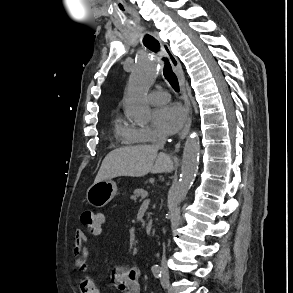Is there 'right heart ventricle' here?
I'll use <instances>...</instances> for the list:
<instances>
[{
	"label": "right heart ventricle",
	"mask_w": 293,
	"mask_h": 293,
	"mask_svg": "<svg viewBox=\"0 0 293 293\" xmlns=\"http://www.w3.org/2000/svg\"><path fill=\"white\" fill-rule=\"evenodd\" d=\"M117 134L122 136L127 143L132 144L138 142L136 139L129 138V127L123 126L121 124H118L116 127Z\"/></svg>",
	"instance_id": "obj_1"
}]
</instances>
